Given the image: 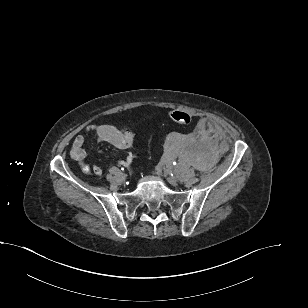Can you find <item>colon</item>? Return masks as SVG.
<instances>
[{"label":"colon","mask_w":308,"mask_h":308,"mask_svg":"<svg viewBox=\"0 0 308 308\" xmlns=\"http://www.w3.org/2000/svg\"><path fill=\"white\" fill-rule=\"evenodd\" d=\"M170 118L173 122L179 125H188L192 120L190 114L178 110L170 112Z\"/></svg>","instance_id":"colon-1"}]
</instances>
